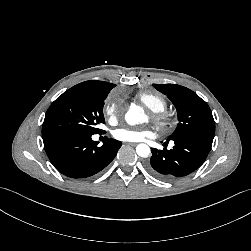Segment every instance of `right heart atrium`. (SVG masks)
Here are the masks:
<instances>
[{"label":"right heart atrium","mask_w":251,"mask_h":251,"mask_svg":"<svg viewBox=\"0 0 251 251\" xmlns=\"http://www.w3.org/2000/svg\"><path fill=\"white\" fill-rule=\"evenodd\" d=\"M121 105L119 102L117 101H108L104 107V114L106 116V118L110 121L113 122L115 121L118 116L121 113Z\"/></svg>","instance_id":"1"}]
</instances>
